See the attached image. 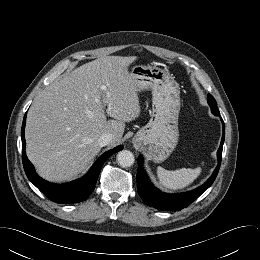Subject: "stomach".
<instances>
[{
  "mask_svg": "<svg viewBox=\"0 0 260 260\" xmlns=\"http://www.w3.org/2000/svg\"><path fill=\"white\" fill-rule=\"evenodd\" d=\"M131 76L137 90L151 89L152 114L150 121L133 138L153 161L166 160L175 149L178 138L180 90L174 77L157 66L136 65Z\"/></svg>",
  "mask_w": 260,
  "mask_h": 260,
  "instance_id": "1",
  "label": "stomach"
}]
</instances>
